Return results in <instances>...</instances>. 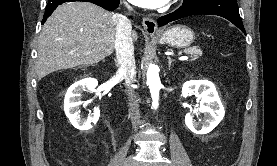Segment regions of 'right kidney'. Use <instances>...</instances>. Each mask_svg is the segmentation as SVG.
<instances>
[{"label":"right kidney","mask_w":277,"mask_h":166,"mask_svg":"<svg viewBox=\"0 0 277 166\" xmlns=\"http://www.w3.org/2000/svg\"><path fill=\"white\" fill-rule=\"evenodd\" d=\"M98 81L93 78L80 80L69 87L64 99V111L69 118L71 124L79 130H89L92 128V123H96L100 116L99 108L94 109L92 117L82 118L79 115V106L83 103L80 97L83 92L95 91Z\"/></svg>","instance_id":"right-kidney-1"}]
</instances>
